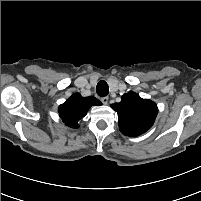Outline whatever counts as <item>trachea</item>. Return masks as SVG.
I'll use <instances>...</instances> for the list:
<instances>
[{
	"mask_svg": "<svg viewBox=\"0 0 201 201\" xmlns=\"http://www.w3.org/2000/svg\"><path fill=\"white\" fill-rule=\"evenodd\" d=\"M96 92L101 97L107 96L109 93L108 84L105 81L101 80L96 86Z\"/></svg>",
	"mask_w": 201,
	"mask_h": 201,
	"instance_id": "obj_1",
	"label": "trachea"
}]
</instances>
